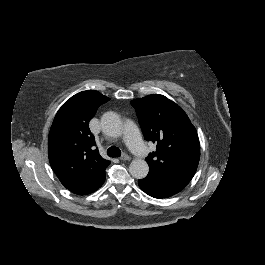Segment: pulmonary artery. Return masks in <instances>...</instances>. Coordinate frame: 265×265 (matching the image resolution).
I'll list each match as a JSON object with an SVG mask.
<instances>
[{
	"instance_id": "e3ab8cb5",
	"label": "pulmonary artery",
	"mask_w": 265,
	"mask_h": 265,
	"mask_svg": "<svg viewBox=\"0 0 265 265\" xmlns=\"http://www.w3.org/2000/svg\"><path fill=\"white\" fill-rule=\"evenodd\" d=\"M125 131L121 132L120 135H113L114 140L120 139L123 143H128L131 151L136 153L140 160L146 162L150 158L148 150L144 147V143L139 137L138 127L134 119L129 118L125 122Z\"/></svg>"
}]
</instances>
